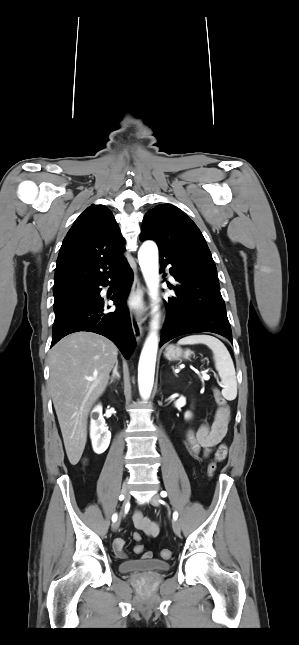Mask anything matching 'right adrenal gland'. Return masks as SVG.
Returning a JSON list of instances; mask_svg holds the SVG:
<instances>
[{"label": "right adrenal gland", "mask_w": 299, "mask_h": 645, "mask_svg": "<svg viewBox=\"0 0 299 645\" xmlns=\"http://www.w3.org/2000/svg\"><path fill=\"white\" fill-rule=\"evenodd\" d=\"M115 379H120V374L118 372V361H116L115 366L113 368L112 376L110 377V382L109 385H111Z\"/></svg>", "instance_id": "1"}]
</instances>
